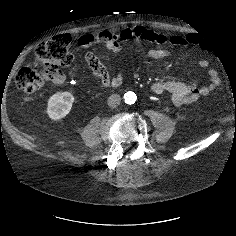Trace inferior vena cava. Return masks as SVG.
<instances>
[{"label": "inferior vena cava", "mask_w": 236, "mask_h": 236, "mask_svg": "<svg viewBox=\"0 0 236 236\" xmlns=\"http://www.w3.org/2000/svg\"><path fill=\"white\" fill-rule=\"evenodd\" d=\"M121 102V97L118 94H112L108 98V106L112 108H116L117 106L120 105Z\"/></svg>", "instance_id": "inferior-vena-cava-1"}]
</instances>
